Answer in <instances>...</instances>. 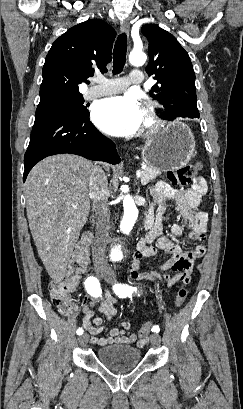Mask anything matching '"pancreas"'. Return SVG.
Segmentation results:
<instances>
[{
  "instance_id": "pancreas-1",
  "label": "pancreas",
  "mask_w": 243,
  "mask_h": 409,
  "mask_svg": "<svg viewBox=\"0 0 243 409\" xmlns=\"http://www.w3.org/2000/svg\"><path fill=\"white\" fill-rule=\"evenodd\" d=\"M142 174H141V183L142 184H147L149 183L151 180H153L154 178H156L161 172L150 168V167H146L144 169L141 170Z\"/></svg>"
}]
</instances>
